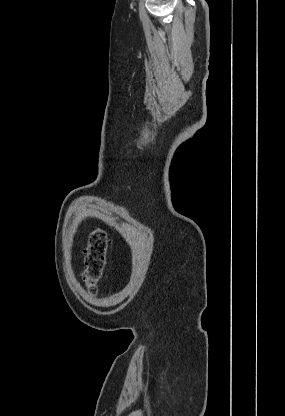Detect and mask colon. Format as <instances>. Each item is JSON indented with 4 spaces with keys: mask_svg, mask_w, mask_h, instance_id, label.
I'll return each instance as SVG.
<instances>
[{
    "mask_svg": "<svg viewBox=\"0 0 285 416\" xmlns=\"http://www.w3.org/2000/svg\"><path fill=\"white\" fill-rule=\"evenodd\" d=\"M108 237L104 230H94L88 239L84 258V280L89 290H95L102 280L107 260Z\"/></svg>",
    "mask_w": 285,
    "mask_h": 416,
    "instance_id": "obj_1",
    "label": "colon"
}]
</instances>
